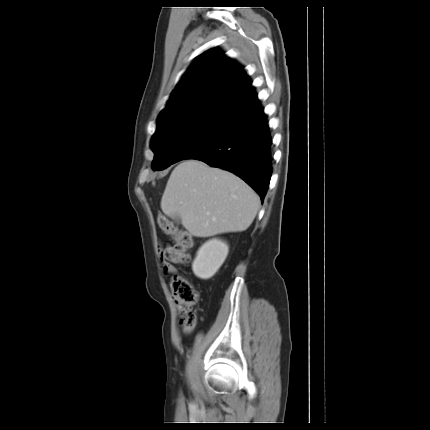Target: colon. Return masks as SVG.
Instances as JSON below:
<instances>
[{
	"label": "colon",
	"instance_id": "5ec220e1",
	"mask_svg": "<svg viewBox=\"0 0 430 430\" xmlns=\"http://www.w3.org/2000/svg\"><path fill=\"white\" fill-rule=\"evenodd\" d=\"M158 225L164 233L170 235L174 242L161 249V258L166 263H186L189 251L193 247V239L187 232L179 230L166 216L159 215ZM171 288L177 310L181 316V326L185 333H190L196 326V314L193 310L198 302V292L183 274L175 273L171 276Z\"/></svg>",
	"mask_w": 430,
	"mask_h": 430
}]
</instances>
